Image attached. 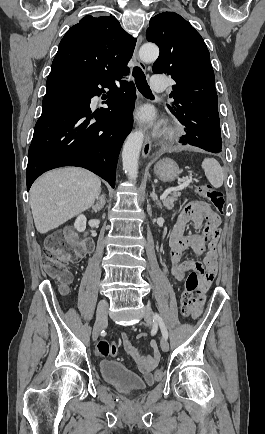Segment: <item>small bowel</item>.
<instances>
[{
    "label": "small bowel",
    "mask_w": 265,
    "mask_h": 434,
    "mask_svg": "<svg viewBox=\"0 0 265 434\" xmlns=\"http://www.w3.org/2000/svg\"><path fill=\"white\" fill-rule=\"evenodd\" d=\"M188 225L203 231L202 235L185 234ZM220 217L210 206L201 200L192 201L181 211L178 220L169 234L168 242L170 247L171 274L174 283L181 281L191 270L196 269L199 280H202L191 311V318L197 319L203 309L205 293L207 292L216 274V242L219 236ZM208 243L209 250L205 257L204 266L194 260H182L185 251L191 250L195 254L201 255ZM200 266V267H198ZM205 275V277H204ZM146 337L145 333L137 335V339ZM122 343L126 352L131 355L137 363L142 366L144 380L148 384L153 383L151 370L155 367L160 358V350L156 340L150 341L152 355H144L134 345L133 340L126 332L122 333Z\"/></svg>",
    "instance_id": "1"
}]
</instances>
